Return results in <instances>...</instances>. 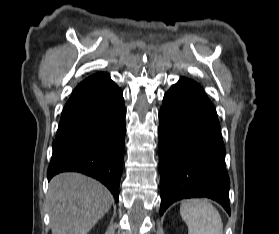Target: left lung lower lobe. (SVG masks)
Listing matches in <instances>:
<instances>
[{"label": "left lung lower lobe", "mask_w": 279, "mask_h": 234, "mask_svg": "<svg viewBox=\"0 0 279 234\" xmlns=\"http://www.w3.org/2000/svg\"><path fill=\"white\" fill-rule=\"evenodd\" d=\"M159 119L160 214L190 197H209L230 214L221 129L201 86L181 78L164 95Z\"/></svg>", "instance_id": "left-lung-lower-lobe-1"}]
</instances>
